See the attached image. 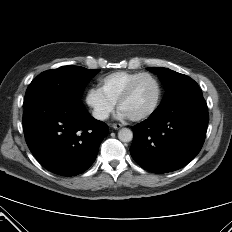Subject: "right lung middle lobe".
I'll return each instance as SVG.
<instances>
[{"label":"right lung middle lobe","mask_w":232,"mask_h":232,"mask_svg":"<svg viewBox=\"0 0 232 232\" xmlns=\"http://www.w3.org/2000/svg\"><path fill=\"white\" fill-rule=\"evenodd\" d=\"M100 70L64 66L39 74L27 88L24 105L43 98L80 100L84 89Z\"/></svg>","instance_id":"dd1d6c3e"}]
</instances>
